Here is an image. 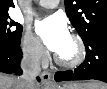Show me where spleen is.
Wrapping results in <instances>:
<instances>
[{
    "instance_id": "3e777b00",
    "label": "spleen",
    "mask_w": 107,
    "mask_h": 89,
    "mask_svg": "<svg viewBox=\"0 0 107 89\" xmlns=\"http://www.w3.org/2000/svg\"><path fill=\"white\" fill-rule=\"evenodd\" d=\"M101 88H102V89H106V88H107V86H102Z\"/></svg>"
}]
</instances>
